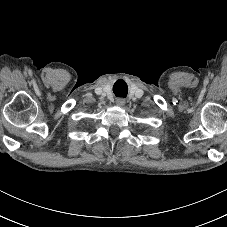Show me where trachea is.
I'll return each instance as SVG.
<instances>
[{"label": "trachea", "mask_w": 227, "mask_h": 227, "mask_svg": "<svg viewBox=\"0 0 227 227\" xmlns=\"http://www.w3.org/2000/svg\"><path fill=\"white\" fill-rule=\"evenodd\" d=\"M113 91H114L115 95L118 96V97H126L127 92H128V88L127 87H120V88L117 89V87H116L115 90H114V87H113Z\"/></svg>", "instance_id": "1"}]
</instances>
